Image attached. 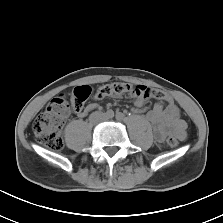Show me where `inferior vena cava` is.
<instances>
[{"mask_svg":"<svg viewBox=\"0 0 223 223\" xmlns=\"http://www.w3.org/2000/svg\"><path fill=\"white\" fill-rule=\"evenodd\" d=\"M98 115H100V114H99V113L92 114V115H91V119L93 120V118H94L95 116H98Z\"/></svg>","mask_w":223,"mask_h":223,"instance_id":"obj_1","label":"inferior vena cava"}]
</instances>
